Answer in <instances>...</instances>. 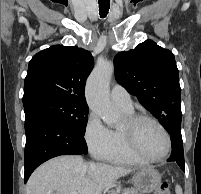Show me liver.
<instances>
[{"label":"liver","mask_w":201,"mask_h":194,"mask_svg":"<svg viewBox=\"0 0 201 194\" xmlns=\"http://www.w3.org/2000/svg\"><path fill=\"white\" fill-rule=\"evenodd\" d=\"M134 169L85 162L81 156H60L38 167L30 176L27 194H102Z\"/></svg>","instance_id":"6515ba94"}]
</instances>
